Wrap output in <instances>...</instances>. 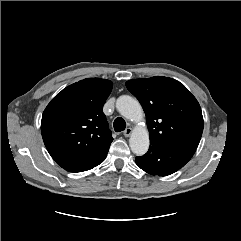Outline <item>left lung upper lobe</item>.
Here are the masks:
<instances>
[{"mask_svg":"<svg viewBox=\"0 0 241 241\" xmlns=\"http://www.w3.org/2000/svg\"><path fill=\"white\" fill-rule=\"evenodd\" d=\"M139 100L150 141L197 148L203 132V116L196 98L177 80L157 76L126 82Z\"/></svg>","mask_w":241,"mask_h":241,"instance_id":"left-lung-upper-lobe-1","label":"left lung upper lobe"}]
</instances>
